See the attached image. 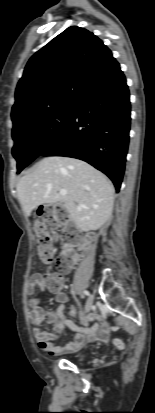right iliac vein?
I'll use <instances>...</instances> for the list:
<instances>
[{"label":"right iliac vein","mask_w":155,"mask_h":413,"mask_svg":"<svg viewBox=\"0 0 155 413\" xmlns=\"http://www.w3.org/2000/svg\"><path fill=\"white\" fill-rule=\"evenodd\" d=\"M93 300H94V297H93L92 294H90V295L88 296V299H87V303H86V307H85V312H89V311H90V309L92 308V305H93Z\"/></svg>","instance_id":"obj_1"}]
</instances>
